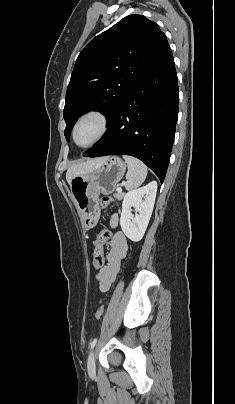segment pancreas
I'll return each mask as SVG.
<instances>
[{
    "mask_svg": "<svg viewBox=\"0 0 235 404\" xmlns=\"http://www.w3.org/2000/svg\"><path fill=\"white\" fill-rule=\"evenodd\" d=\"M113 196L117 199V200H122L124 197V193L123 192H117L115 194H113Z\"/></svg>",
    "mask_w": 235,
    "mask_h": 404,
    "instance_id": "pancreas-1",
    "label": "pancreas"
}]
</instances>
